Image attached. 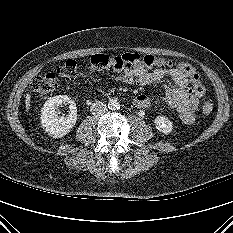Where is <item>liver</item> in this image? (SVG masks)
Here are the masks:
<instances>
[{"instance_id":"obj_1","label":"liver","mask_w":233,"mask_h":233,"mask_svg":"<svg viewBox=\"0 0 233 233\" xmlns=\"http://www.w3.org/2000/svg\"><path fill=\"white\" fill-rule=\"evenodd\" d=\"M25 105H26V110L29 111L31 106V95L29 93L26 94Z\"/></svg>"}]
</instances>
